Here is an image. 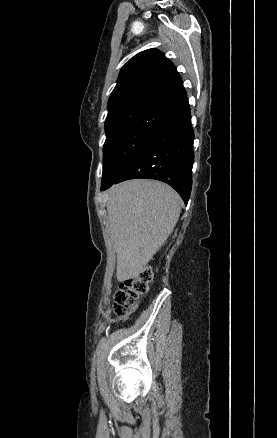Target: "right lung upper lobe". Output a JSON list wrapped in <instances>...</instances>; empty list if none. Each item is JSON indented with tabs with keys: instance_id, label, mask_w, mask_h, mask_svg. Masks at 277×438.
<instances>
[{
	"instance_id": "right-lung-upper-lobe-1",
	"label": "right lung upper lobe",
	"mask_w": 277,
	"mask_h": 438,
	"mask_svg": "<svg viewBox=\"0 0 277 438\" xmlns=\"http://www.w3.org/2000/svg\"><path fill=\"white\" fill-rule=\"evenodd\" d=\"M185 96L174 65L159 50L148 49L135 55L121 69L108 101L107 118L167 111Z\"/></svg>"
}]
</instances>
